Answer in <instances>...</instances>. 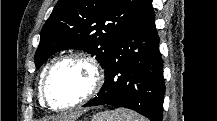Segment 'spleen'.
Segmentation results:
<instances>
[{
  "instance_id": "3e777b00",
  "label": "spleen",
  "mask_w": 217,
  "mask_h": 121,
  "mask_svg": "<svg viewBox=\"0 0 217 121\" xmlns=\"http://www.w3.org/2000/svg\"><path fill=\"white\" fill-rule=\"evenodd\" d=\"M92 121H145L143 117L128 109L118 108L95 115Z\"/></svg>"
}]
</instances>
